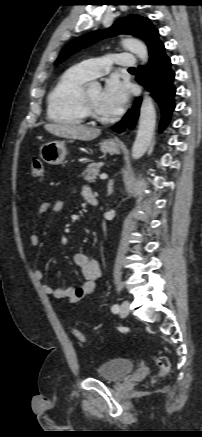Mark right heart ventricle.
Instances as JSON below:
<instances>
[{"label": "right heart ventricle", "mask_w": 202, "mask_h": 437, "mask_svg": "<svg viewBox=\"0 0 202 437\" xmlns=\"http://www.w3.org/2000/svg\"><path fill=\"white\" fill-rule=\"evenodd\" d=\"M89 79L77 66L65 71L48 94V118L65 124L84 123L86 115L81 106V92Z\"/></svg>", "instance_id": "1"}]
</instances>
